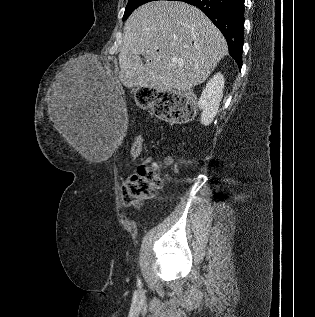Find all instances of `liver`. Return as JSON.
Wrapping results in <instances>:
<instances>
[{"label":"liver","mask_w":315,"mask_h":317,"mask_svg":"<svg viewBox=\"0 0 315 317\" xmlns=\"http://www.w3.org/2000/svg\"><path fill=\"white\" fill-rule=\"evenodd\" d=\"M227 53L222 33L196 7L178 1L150 2L137 8L125 23L119 79L127 88L187 91L203 83ZM49 117L85 156L83 122L64 83L54 88Z\"/></svg>","instance_id":"liver-1"}]
</instances>
